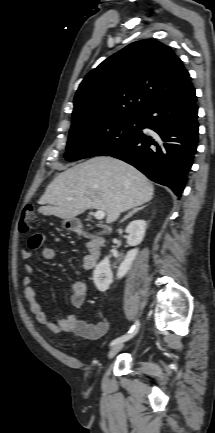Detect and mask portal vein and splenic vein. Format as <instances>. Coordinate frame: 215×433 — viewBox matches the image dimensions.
<instances>
[{
	"mask_svg": "<svg viewBox=\"0 0 215 433\" xmlns=\"http://www.w3.org/2000/svg\"><path fill=\"white\" fill-rule=\"evenodd\" d=\"M93 215L97 220H102L106 214L104 211L99 210V211H96Z\"/></svg>",
	"mask_w": 215,
	"mask_h": 433,
	"instance_id": "portal-vein-and-splenic-vein-1",
	"label": "portal vein and splenic vein"
}]
</instances>
